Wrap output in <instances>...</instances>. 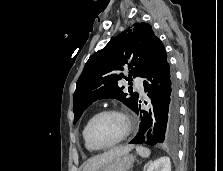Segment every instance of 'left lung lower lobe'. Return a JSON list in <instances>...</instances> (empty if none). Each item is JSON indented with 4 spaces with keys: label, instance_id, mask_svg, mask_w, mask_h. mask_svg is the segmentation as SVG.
Segmentation results:
<instances>
[{
    "label": "left lung lower lobe",
    "instance_id": "obj_1",
    "mask_svg": "<svg viewBox=\"0 0 223 171\" xmlns=\"http://www.w3.org/2000/svg\"><path fill=\"white\" fill-rule=\"evenodd\" d=\"M143 82L151 108L141 110L138 101L134 111L140 114L139 132L132 144L156 145L175 143L178 135L179 104L175 74L167 62V54L158 41L148 60Z\"/></svg>",
    "mask_w": 223,
    "mask_h": 171
}]
</instances>
